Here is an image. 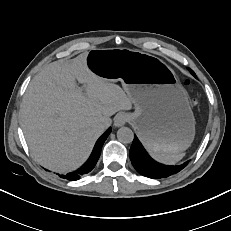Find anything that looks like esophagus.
Here are the masks:
<instances>
[{
	"label": "esophagus",
	"mask_w": 231,
	"mask_h": 231,
	"mask_svg": "<svg viewBox=\"0 0 231 231\" xmlns=\"http://www.w3.org/2000/svg\"><path fill=\"white\" fill-rule=\"evenodd\" d=\"M128 120H129V117H128L127 114H125V113H119L114 118V126L115 127H121V126L125 125Z\"/></svg>",
	"instance_id": "1"
}]
</instances>
